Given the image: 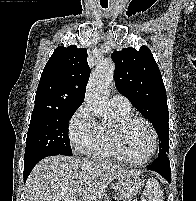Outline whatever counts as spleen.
Instances as JSON below:
<instances>
[{"mask_svg": "<svg viewBox=\"0 0 196 201\" xmlns=\"http://www.w3.org/2000/svg\"><path fill=\"white\" fill-rule=\"evenodd\" d=\"M142 201H163V194L157 180L151 178L147 181Z\"/></svg>", "mask_w": 196, "mask_h": 201, "instance_id": "3e777b00", "label": "spleen"}]
</instances>
